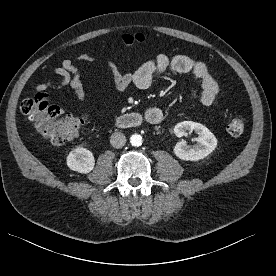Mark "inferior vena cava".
Wrapping results in <instances>:
<instances>
[{
  "label": "inferior vena cava",
  "mask_w": 276,
  "mask_h": 276,
  "mask_svg": "<svg viewBox=\"0 0 276 276\" xmlns=\"http://www.w3.org/2000/svg\"><path fill=\"white\" fill-rule=\"evenodd\" d=\"M110 143L114 148H122L126 143V137L121 132H115L110 137Z\"/></svg>",
  "instance_id": "obj_1"
}]
</instances>
